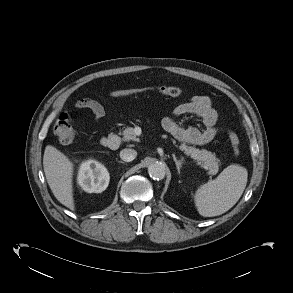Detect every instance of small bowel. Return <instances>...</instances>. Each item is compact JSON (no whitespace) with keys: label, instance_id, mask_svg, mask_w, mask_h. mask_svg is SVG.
I'll return each instance as SVG.
<instances>
[{"label":"small bowel","instance_id":"obj_1","mask_svg":"<svg viewBox=\"0 0 293 293\" xmlns=\"http://www.w3.org/2000/svg\"><path fill=\"white\" fill-rule=\"evenodd\" d=\"M75 107L87 109L92 112L96 121H100L106 115L105 107L99 101L91 98L78 99ZM175 117L193 115L201 119L204 128L195 126L182 127L175 119L166 117L162 121L163 128L172 134L177 140L191 145H205L211 142L220 132L217 126L218 113L212 105L209 97L196 95L188 101L178 105L174 111Z\"/></svg>","mask_w":293,"mask_h":293}]
</instances>
